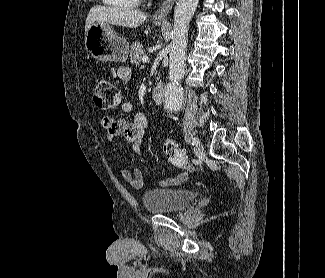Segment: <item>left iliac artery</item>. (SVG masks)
Wrapping results in <instances>:
<instances>
[{
	"mask_svg": "<svg viewBox=\"0 0 325 278\" xmlns=\"http://www.w3.org/2000/svg\"><path fill=\"white\" fill-rule=\"evenodd\" d=\"M198 141H199V140H198L197 138H193L191 144H192V145H196V143H198Z\"/></svg>",
	"mask_w": 325,
	"mask_h": 278,
	"instance_id": "44dca946",
	"label": "left iliac artery"
}]
</instances>
